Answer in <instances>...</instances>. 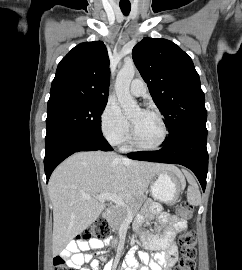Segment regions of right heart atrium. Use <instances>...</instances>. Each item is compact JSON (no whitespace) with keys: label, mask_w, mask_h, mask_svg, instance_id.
<instances>
[{"label":"right heart atrium","mask_w":242,"mask_h":270,"mask_svg":"<svg viewBox=\"0 0 242 270\" xmlns=\"http://www.w3.org/2000/svg\"><path fill=\"white\" fill-rule=\"evenodd\" d=\"M100 127L104 137L113 145H122L129 139V121L112 100L107 101L101 113Z\"/></svg>","instance_id":"obj_1"}]
</instances>
